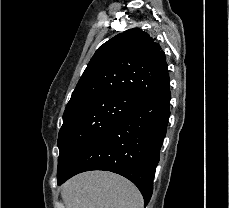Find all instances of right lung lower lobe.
Here are the masks:
<instances>
[{
	"mask_svg": "<svg viewBox=\"0 0 229 208\" xmlns=\"http://www.w3.org/2000/svg\"><path fill=\"white\" fill-rule=\"evenodd\" d=\"M169 86L142 102L102 133L58 176V185L89 170H107L132 181L143 195L145 206L153 192L155 169L170 116Z\"/></svg>",
	"mask_w": 229,
	"mask_h": 208,
	"instance_id": "1",
	"label": "right lung lower lobe"
}]
</instances>
